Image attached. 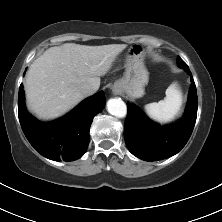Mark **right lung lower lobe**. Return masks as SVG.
I'll list each match as a JSON object with an SVG mask.
<instances>
[{"instance_id": "1", "label": "right lung lower lobe", "mask_w": 222, "mask_h": 222, "mask_svg": "<svg viewBox=\"0 0 222 222\" xmlns=\"http://www.w3.org/2000/svg\"><path fill=\"white\" fill-rule=\"evenodd\" d=\"M105 102L104 93L100 92L84 100L63 118L41 123L28 114L21 84L18 96L19 121L26 138L42 156L55 161H73L85 153L92 119L103 110Z\"/></svg>"}]
</instances>
